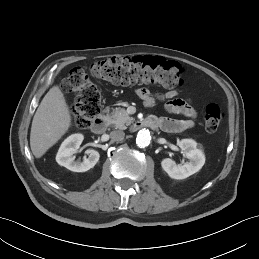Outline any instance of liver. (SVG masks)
<instances>
[{
  "mask_svg": "<svg viewBox=\"0 0 259 259\" xmlns=\"http://www.w3.org/2000/svg\"><path fill=\"white\" fill-rule=\"evenodd\" d=\"M70 124L71 115L64 94L59 86H53L33 117L30 133L33 155L42 157L68 131Z\"/></svg>",
  "mask_w": 259,
  "mask_h": 259,
  "instance_id": "1",
  "label": "liver"
}]
</instances>
